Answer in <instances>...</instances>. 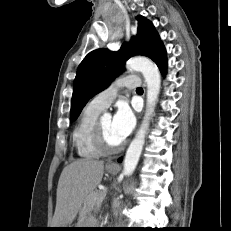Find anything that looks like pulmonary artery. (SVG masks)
<instances>
[{
    "instance_id": "e3ab8cb5",
    "label": "pulmonary artery",
    "mask_w": 231,
    "mask_h": 231,
    "mask_svg": "<svg viewBox=\"0 0 231 231\" xmlns=\"http://www.w3.org/2000/svg\"><path fill=\"white\" fill-rule=\"evenodd\" d=\"M140 86V79L135 74H128L117 80L110 87L96 95L89 103L92 107L99 110H105L116 98L118 92L122 88L135 89Z\"/></svg>"
}]
</instances>
